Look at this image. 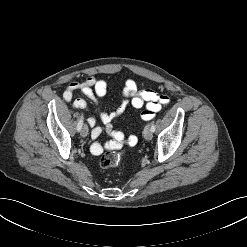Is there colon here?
Listing matches in <instances>:
<instances>
[{
    "instance_id": "1",
    "label": "colon",
    "mask_w": 247,
    "mask_h": 247,
    "mask_svg": "<svg viewBox=\"0 0 247 247\" xmlns=\"http://www.w3.org/2000/svg\"><path fill=\"white\" fill-rule=\"evenodd\" d=\"M133 144L136 140L131 141ZM111 150L103 153L100 157L99 164L104 169H110L117 167L122 159V151L120 150V144L118 141H114L111 144Z\"/></svg>"
}]
</instances>
